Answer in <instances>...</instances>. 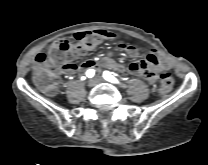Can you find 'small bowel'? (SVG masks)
<instances>
[{
    "instance_id": "1",
    "label": "small bowel",
    "mask_w": 208,
    "mask_h": 165,
    "mask_svg": "<svg viewBox=\"0 0 208 165\" xmlns=\"http://www.w3.org/2000/svg\"><path fill=\"white\" fill-rule=\"evenodd\" d=\"M101 39L112 40L116 37V34L110 30L100 29L96 30ZM118 48L124 51L131 57H135L138 54L137 48L133 45L120 43ZM102 65L117 71H124L125 68L119 62L115 61L112 57L107 56L102 59ZM170 66V61L167 58L160 57L156 51H151L147 54L145 59L132 62L128 71L136 76H140L150 83H153L157 79V72L167 69ZM97 64L93 58L83 59L80 63L64 62L60 66V71L63 74L78 75L82 70L95 68Z\"/></svg>"
}]
</instances>
